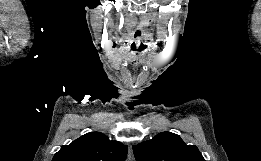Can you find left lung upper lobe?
Segmentation results:
<instances>
[{
	"label": "left lung upper lobe",
	"mask_w": 261,
	"mask_h": 161,
	"mask_svg": "<svg viewBox=\"0 0 261 161\" xmlns=\"http://www.w3.org/2000/svg\"><path fill=\"white\" fill-rule=\"evenodd\" d=\"M133 151L136 161H205L196 146L185 144L180 136L170 132L133 145Z\"/></svg>",
	"instance_id": "obj_1"
}]
</instances>
